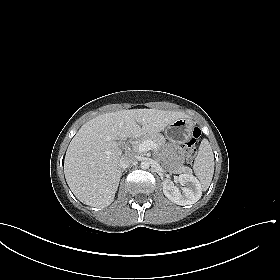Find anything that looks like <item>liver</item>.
Masks as SVG:
<instances>
[{
    "mask_svg": "<svg viewBox=\"0 0 280 280\" xmlns=\"http://www.w3.org/2000/svg\"><path fill=\"white\" fill-rule=\"evenodd\" d=\"M188 116L158 109L120 110L86 122L71 140L64 160L68 186L82 203L105 208L115 197L120 177L122 151L118 140L163 131Z\"/></svg>",
    "mask_w": 280,
    "mask_h": 280,
    "instance_id": "6515ba94",
    "label": "liver"
}]
</instances>
